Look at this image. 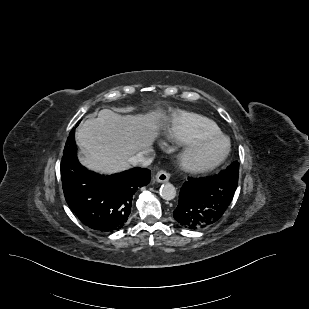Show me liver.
Returning a JSON list of instances; mask_svg holds the SVG:
<instances>
[{
  "label": "liver",
  "mask_w": 309,
  "mask_h": 309,
  "mask_svg": "<svg viewBox=\"0 0 309 309\" xmlns=\"http://www.w3.org/2000/svg\"><path fill=\"white\" fill-rule=\"evenodd\" d=\"M164 114L156 110L140 115H119L103 109L97 118L86 120L76 132V140L87 168L114 173L129 167L128 159L153 144Z\"/></svg>",
  "instance_id": "1"
}]
</instances>
